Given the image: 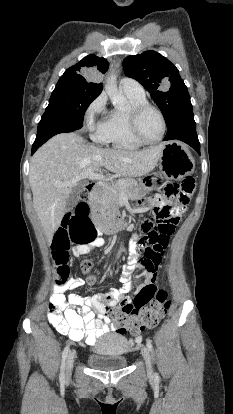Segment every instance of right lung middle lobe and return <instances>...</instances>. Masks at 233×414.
I'll use <instances>...</instances> for the list:
<instances>
[{
    "label": "right lung middle lobe",
    "mask_w": 233,
    "mask_h": 414,
    "mask_svg": "<svg viewBox=\"0 0 233 414\" xmlns=\"http://www.w3.org/2000/svg\"><path fill=\"white\" fill-rule=\"evenodd\" d=\"M99 94L58 82L45 112L83 123L85 111Z\"/></svg>",
    "instance_id": "dd1d6c3e"
}]
</instances>
